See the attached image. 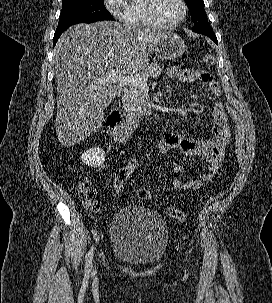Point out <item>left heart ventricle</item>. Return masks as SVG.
Here are the masks:
<instances>
[{"label": "left heart ventricle", "instance_id": "left-heart-ventricle-1", "mask_svg": "<svg viewBox=\"0 0 272 303\" xmlns=\"http://www.w3.org/2000/svg\"><path fill=\"white\" fill-rule=\"evenodd\" d=\"M181 13L182 8L178 0H159L157 15L161 22L171 24L180 18Z\"/></svg>", "mask_w": 272, "mask_h": 303}]
</instances>
